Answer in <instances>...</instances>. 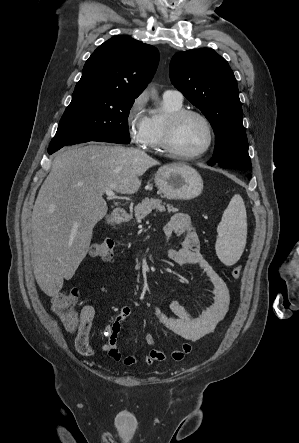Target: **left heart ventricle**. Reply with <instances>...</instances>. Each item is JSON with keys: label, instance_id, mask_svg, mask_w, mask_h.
I'll return each mask as SVG.
<instances>
[{"label": "left heart ventricle", "instance_id": "left-heart-ventricle-1", "mask_svg": "<svg viewBox=\"0 0 299 443\" xmlns=\"http://www.w3.org/2000/svg\"><path fill=\"white\" fill-rule=\"evenodd\" d=\"M208 133L202 120L195 116L185 117L178 124L174 138V147L182 153H196L206 144Z\"/></svg>", "mask_w": 299, "mask_h": 443}]
</instances>
